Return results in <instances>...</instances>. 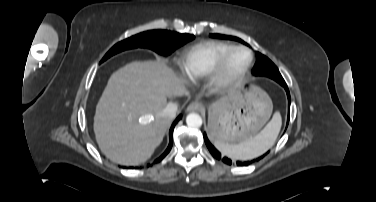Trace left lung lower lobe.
Segmentation results:
<instances>
[{
  "mask_svg": "<svg viewBox=\"0 0 376 202\" xmlns=\"http://www.w3.org/2000/svg\"><path fill=\"white\" fill-rule=\"evenodd\" d=\"M280 85H282V86L285 88L286 93H287V97H288V121H287V125H288V122H289V111H290V93H289V89H288L286 83H281ZM286 127H287V126H286ZM204 140H205L206 146H207V148L209 149V151H210V153L212 154V156H213L214 158H216V159H221V154H220V152H219V151H218V150H217V149H216V148L210 143V141H209L208 138H207L206 133H204ZM268 152H269V151H268ZM268 152L265 153L263 156L258 157V158L254 159V160H251V161H244V162H240V161H238L236 164H237L238 166H248V165H250V164H252V163H254V162H256V161L261 160L266 154H268ZM222 160H223L224 163H226V164H228V165H231V164H232L231 160L228 159L227 157H224Z\"/></svg>",
  "mask_w": 376,
  "mask_h": 202,
  "instance_id": "1",
  "label": "left lung lower lobe"
}]
</instances>
